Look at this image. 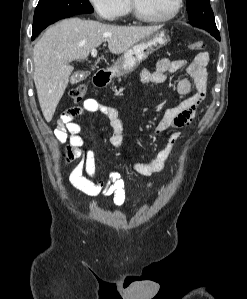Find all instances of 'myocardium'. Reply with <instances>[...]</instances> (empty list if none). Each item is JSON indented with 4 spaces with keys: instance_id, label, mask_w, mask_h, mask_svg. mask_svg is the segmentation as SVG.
Wrapping results in <instances>:
<instances>
[{
    "instance_id": "1",
    "label": "myocardium",
    "mask_w": 247,
    "mask_h": 299,
    "mask_svg": "<svg viewBox=\"0 0 247 299\" xmlns=\"http://www.w3.org/2000/svg\"><path fill=\"white\" fill-rule=\"evenodd\" d=\"M130 4L132 12L137 19L148 23H164L174 19L179 14L183 6V0H176V4L173 11L170 14L163 17H150L144 14L139 6L138 0H130Z\"/></svg>"
}]
</instances>
